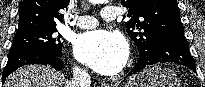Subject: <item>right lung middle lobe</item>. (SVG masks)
I'll return each mask as SVG.
<instances>
[{"mask_svg":"<svg viewBox=\"0 0 205 87\" xmlns=\"http://www.w3.org/2000/svg\"><path fill=\"white\" fill-rule=\"evenodd\" d=\"M61 35L56 28L34 29L17 32L11 48L32 47L50 53H62Z\"/></svg>","mask_w":205,"mask_h":87,"instance_id":"obj_1","label":"right lung middle lobe"}]
</instances>
